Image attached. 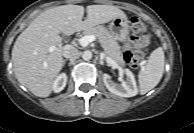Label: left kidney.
<instances>
[{
	"label": "left kidney",
	"mask_w": 194,
	"mask_h": 133,
	"mask_svg": "<svg viewBox=\"0 0 194 133\" xmlns=\"http://www.w3.org/2000/svg\"><path fill=\"white\" fill-rule=\"evenodd\" d=\"M123 73L126 79L121 81V84L115 83L111 76L103 74V81L106 88L113 94L120 97H133L137 95L138 89L133 73L129 69H125Z\"/></svg>",
	"instance_id": "1"
}]
</instances>
